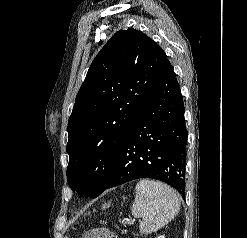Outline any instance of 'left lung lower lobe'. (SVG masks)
<instances>
[{"instance_id": "left-lung-lower-lobe-1", "label": "left lung lower lobe", "mask_w": 247, "mask_h": 238, "mask_svg": "<svg viewBox=\"0 0 247 238\" xmlns=\"http://www.w3.org/2000/svg\"><path fill=\"white\" fill-rule=\"evenodd\" d=\"M187 136L180 86L168 61L121 144L102 192L131 180L153 178L183 195Z\"/></svg>"}]
</instances>
